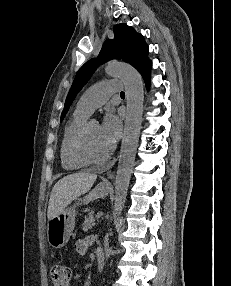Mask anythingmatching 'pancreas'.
Instances as JSON below:
<instances>
[{"mask_svg":"<svg viewBox=\"0 0 231 286\" xmlns=\"http://www.w3.org/2000/svg\"><path fill=\"white\" fill-rule=\"evenodd\" d=\"M94 226H95L94 213L91 212V213H89L88 216L85 217V221L83 223V230L87 231V230L91 229Z\"/></svg>","mask_w":231,"mask_h":286,"instance_id":"obj_1","label":"pancreas"}]
</instances>
